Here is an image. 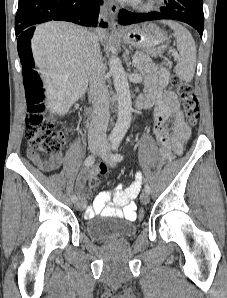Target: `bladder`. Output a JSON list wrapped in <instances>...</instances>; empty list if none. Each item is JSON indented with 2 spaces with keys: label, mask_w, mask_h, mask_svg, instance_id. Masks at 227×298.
Instances as JSON below:
<instances>
[{
  "label": "bladder",
  "mask_w": 227,
  "mask_h": 298,
  "mask_svg": "<svg viewBox=\"0 0 227 298\" xmlns=\"http://www.w3.org/2000/svg\"><path fill=\"white\" fill-rule=\"evenodd\" d=\"M85 232L97 242L125 240L136 234L137 225L134 221L120 218L91 219L86 223Z\"/></svg>",
  "instance_id": "bladder-1"
}]
</instances>
